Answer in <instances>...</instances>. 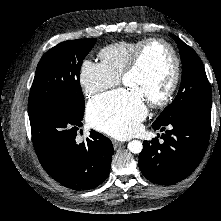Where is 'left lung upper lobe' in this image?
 Wrapping results in <instances>:
<instances>
[{"instance_id":"5c2ea615","label":"left lung upper lobe","mask_w":221,"mask_h":221,"mask_svg":"<svg viewBox=\"0 0 221 221\" xmlns=\"http://www.w3.org/2000/svg\"><path fill=\"white\" fill-rule=\"evenodd\" d=\"M176 41L182 60V78L179 92L155 122L164 123L191 110L211 111L212 91L203 63L197 53L177 36Z\"/></svg>"}]
</instances>
